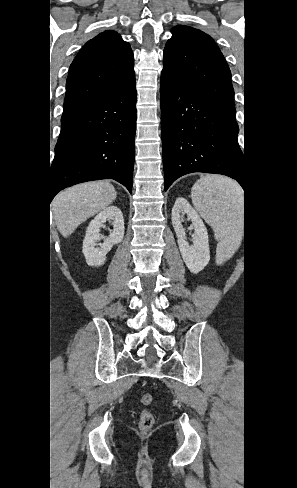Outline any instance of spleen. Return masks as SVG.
Instances as JSON below:
<instances>
[{
  "mask_svg": "<svg viewBox=\"0 0 297 488\" xmlns=\"http://www.w3.org/2000/svg\"><path fill=\"white\" fill-rule=\"evenodd\" d=\"M191 198L200 215L213 227L219 244L233 253L240 242L237 234L243 204L240 186L226 177L202 176L194 184Z\"/></svg>",
  "mask_w": 297,
  "mask_h": 488,
  "instance_id": "3e777b00",
  "label": "spleen"
}]
</instances>
